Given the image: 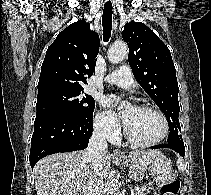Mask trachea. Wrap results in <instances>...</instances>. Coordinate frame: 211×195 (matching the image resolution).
<instances>
[{
	"instance_id": "3493384b",
	"label": "trachea",
	"mask_w": 211,
	"mask_h": 195,
	"mask_svg": "<svg viewBox=\"0 0 211 195\" xmlns=\"http://www.w3.org/2000/svg\"><path fill=\"white\" fill-rule=\"evenodd\" d=\"M112 14H113L112 3L110 1L106 2L104 4L103 15H102V26H103L104 42H108L109 38L111 36Z\"/></svg>"
}]
</instances>
